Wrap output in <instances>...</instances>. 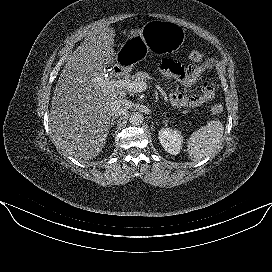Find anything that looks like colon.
I'll use <instances>...</instances> for the list:
<instances>
[{
    "label": "colon",
    "instance_id": "colon-1",
    "mask_svg": "<svg viewBox=\"0 0 272 272\" xmlns=\"http://www.w3.org/2000/svg\"><path fill=\"white\" fill-rule=\"evenodd\" d=\"M203 53L201 51L195 50L192 51L189 55V60L195 64L203 63ZM223 111V107L219 104H215L211 107V112L213 114H220Z\"/></svg>",
    "mask_w": 272,
    "mask_h": 272
}]
</instances>
